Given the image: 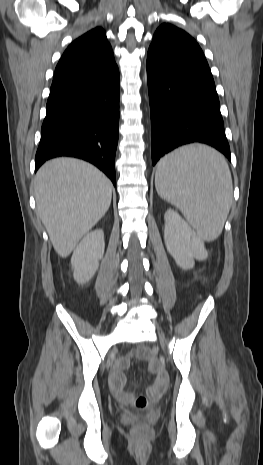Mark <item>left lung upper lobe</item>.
Here are the masks:
<instances>
[{
    "label": "left lung upper lobe",
    "mask_w": 263,
    "mask_h": 465,
    "mask_svg": "<svg viewBox=\"0 0 263 465\" xmlns=\"http://www.w3.org/2000/svg\"><path fill=\"white\" fill-rule=\"evenodd\" d=\"M150 46L171 52L200 55L204 57L197 42L185 31L171 24H162L156 30Z\"/></svg>",
    "instance_id": "1"
}]
</instances>
